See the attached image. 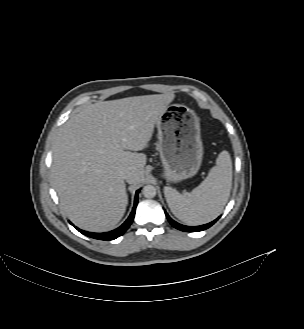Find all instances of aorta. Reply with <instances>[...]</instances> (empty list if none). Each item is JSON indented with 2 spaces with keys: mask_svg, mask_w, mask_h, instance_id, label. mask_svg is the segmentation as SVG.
I'll return each instance as SVG.
<instances>
[{
  "mask_svg": "<svg viewBox=\"0 0 304 329\" xmlns=\"http://www.w3.org/2000/svg\"><path fill=\"white\" fill-rule=\"evenodd\" d=\"M142 193L146 198H153L156 196V188L153 185H146L143 187Z\"/></svg>",
  "mask_w": 304,
  "mask_h": 329,
  "instance_id": "762f6f07",
  "label": "aorta"
}]
</instances>
